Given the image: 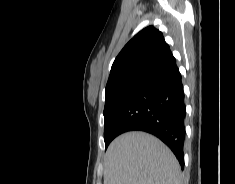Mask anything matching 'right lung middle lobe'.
Instances as JSON below:
<instances>
[{
    "label": "right lung middle lobe",
    "instance_id": "obj_1",
    "mask_svg": "<svg viewBox=\"0 0 235 184\" xmlns=\"http://www.w3.org/2000/svg\"><path fill=\"white\" fill-rule=\"evenodd\" d=\"M141 81L142 78L133 77L125 81L121 86L105 92L106 100L103 112L105 148H107L110 142L117 136L114 132H111L110 126L118 111V108L120 107L128 92L134 86L140 84Z\"/></svg>",
    "mask_w": 235,
    "mask_h": 184
}]
</instances>
